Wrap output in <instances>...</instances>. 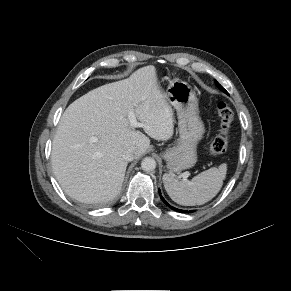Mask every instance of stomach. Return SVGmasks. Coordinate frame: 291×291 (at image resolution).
<instances>
[{"label":"stomach","mask_w":291,"mask_h":291,"mask_svg":"<svg viewBox=\"0 0 291 291\" xmlns=\"http://www.w3.org/2000/svg\"><path fill=\"white\" fill-rule=\"evenodd\" d=\"M164 95L177 111L179 138L162 157L171 174L180 173L197 162V144L205 132L204 124L199 116L195 91L187 82L172 81Z\"/></svg>","instance_id":"stomach-1"}]
</instances>
